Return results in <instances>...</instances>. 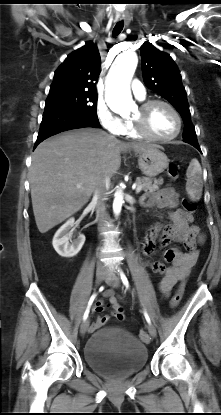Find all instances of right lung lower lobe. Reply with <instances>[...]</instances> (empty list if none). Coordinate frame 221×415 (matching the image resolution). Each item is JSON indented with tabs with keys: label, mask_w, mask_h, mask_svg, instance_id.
Returning a JSON list of instances; mask_svg holds the SVG:
<instances>
[{
	"label": "right lung lower lobe",
	"mask_w": 221,
	"mask_h": 415,
	"mask_svg": "<svg viewBox=\"0 0 221 415\" xmlns=\"http://www.w3.org/2000/svg\"><path fill=\"white\" fill-rule=\"evenodd\" d=\"M99 126L98 119L83 113L63 110H45L34 149L43 140L60 132L83 127Z\"/></svg>",
	"instance_id": "right-lung-lower-lobe-1"
}]
</instances>
